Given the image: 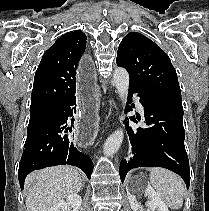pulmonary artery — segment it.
<instances>
[{
  "label": "pulmonary artery",
  "mask_w": 209,
  "mask_h": 211,
  "mask_svg": "<svg viewBox=\"0 0 209 211\" xmlns=\"http://www.w3.org/2000/svg\"><path fill=\"white\" fill-rule=\"evenodd\" d=\"M135 101H136V105H137V108L139 109V111L143 112L144 111V108L139 100L138 97H135Z\"/></svg>",
  "instance_id": "e3ab8cb5"
}]
</instances>
